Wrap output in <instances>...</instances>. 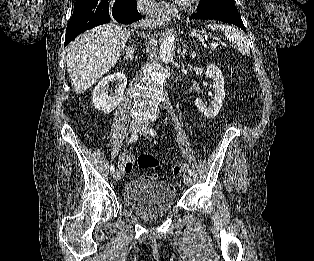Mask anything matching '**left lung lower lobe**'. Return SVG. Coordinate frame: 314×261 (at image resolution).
<instances>
[{"mask_svg": "<svg viewBox=\"0 0 314 261\" xmlns=\"http://www.w3.org/2000/svg\"><path fill=\"white\" fill-rule=\"evenodd\" d=\"M218 20L222 22H227L234 24L244 30L246 29L243 25L242 19L238 11H229V10H214V11H204L198 10L197 13H194L189 20Z\"/></svg>", "mask_w": 314, "mask_h": 261, "instance_id": "obj_1", "label": "left lung lower lobe"}]
</instances>
